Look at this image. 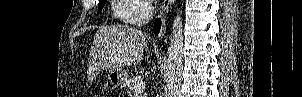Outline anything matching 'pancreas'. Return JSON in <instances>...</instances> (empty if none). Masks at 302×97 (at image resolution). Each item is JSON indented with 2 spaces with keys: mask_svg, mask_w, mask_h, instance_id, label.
Masks as SVG:
<instances>
[{
  "mask_svg": "<svg viewBox=\"0 0 302 97\" xmlns=\"http://www.w3.org/2000/svg\"><path fill=\"white\" fill-rule=\"evenodd\" d=\"M140 81H141V78L138 75L129 79V81L127 83V92L130 94V96H133L135 94V86Z\"/></svg>",
  "mask_w": 302,
  "mask_h": 97,
  "instance_id": "pancreas-1",
  "label": "pancreas"
}]
</instances>
